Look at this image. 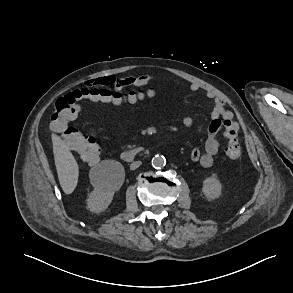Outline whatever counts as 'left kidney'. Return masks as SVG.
<instances>
[{"mask_svg":"<svg viewBox=\"0 0 293 293\" xmlns=\"http://www.w3.org/2000/svg\"><path fill=\"white\" fill-rule=\"evenodd\" d=\"M222 184L216 177H208L203 181L202 192L208 199H217L221 196Z\"/></svg>","mask_w":293,"mask_h":293,"instance_id":"1","label":"left kidney"}]
</instances>
